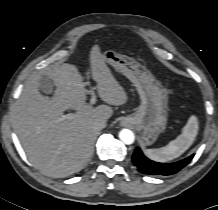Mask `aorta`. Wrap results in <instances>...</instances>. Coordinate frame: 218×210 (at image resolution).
<instances>
[{"label": "aorta", "mask_w": 218, "mask_h": 210, "mask_svg": "<svg viewBox=\"0 0 218 210\" xmlns=\"http://www.w3.org/2000/svg\"><path fill=\"white\" fill-rule=\"evenodd\" d=\"M120 140L127 145H130L134 142V133L129 129H122L119 133Z\"/></svg>", "instance_id": "obj_1"}]
</instances>
